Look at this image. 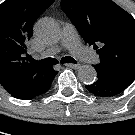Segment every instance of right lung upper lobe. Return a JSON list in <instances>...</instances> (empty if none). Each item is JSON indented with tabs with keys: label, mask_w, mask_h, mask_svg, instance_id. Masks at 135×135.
Listing matches in <instances>:
<instances>
[{
	"label": "right lung upper lobe",
	"mask_w": 135,
	"mask_h": 135,
	"mask_svg": "<svg viewBox=\"0 0 135 135\" xmlns=\"http://www.w3.org/2000/svg\"><path fill=\"white\" fill-rule=\"evenodd\" d=\"M55 0H6L0 5V85L7 92L28 86V81L42 80L51 67H37L29 62L27 42L37 18Z\"/></svg>",
	"instance_id": "obj_1"
}]
</instances>
